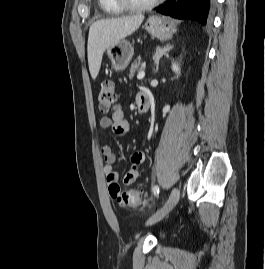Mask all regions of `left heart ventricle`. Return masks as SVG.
<instances>
[{
  "label": "left heart ventricle",
  "mask_w": 265,
  "mask_h": 269,
  "mask_svg": "<svg viewBox=\"0 0 265 269\" xmlns=\"http://www.w3.org/2000/svg\"><path fill=\"white\" fill-rule=\"evenodd\" d=\"M131 1L136 2V3H145L149 0H131Z\"/></svg>",
  "instance_id": "left-heart-ventricle-1"
}]
</instances>
